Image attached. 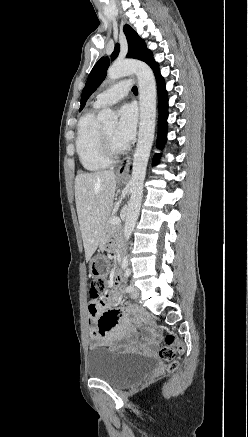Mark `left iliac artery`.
Masks as SVG:
<instances>
[{"mask_svg": "<svg viewBox=\"0 0 248 437\" xmlns=\"http://www.w3.org/2000/svg\"><path fill=\"white\" fill-rule=\"evenodd\" d=\"M130 273H131V271L129 269H127L124 273V277L128 278ZM125 290H126V292L130 293L132 291V286L131 285L127 286Z\"/></svg>", "mask_w": 248, "mask_h": 437, "instance_id": "44dca946", "label": "left iliac artery"}]
</instances>
